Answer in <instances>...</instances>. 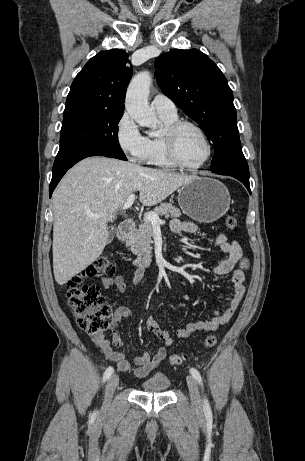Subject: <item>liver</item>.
I'll use <instances>...</instances> for the list:
<instances>
[{
  "mask_svg": "<svg viewBox=\"0 0 305 461\" xmlns=\"http://www.w3.org/2000/svg\"><path fill=\"white\" fill-rule=\"evenodd\" d=\"M196 176L176 174L105 157H90L70 169L52 199L53 272L59 285L91 265L109 236L108 222L130 194L139 191L154 206ZM89 214H105L93 220Z\"/></svg>",
  "mask_w": 305,
  "mask_h": 461,
  "instance_id": "obj_1",
  "label": "liver"
}]
</instances>
